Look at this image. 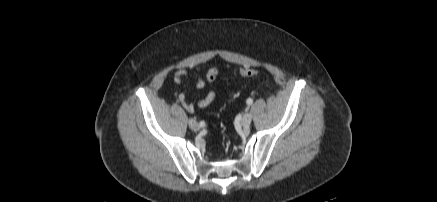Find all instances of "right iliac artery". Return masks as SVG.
I'll return each instance as SVG.
<instances>
[{
    "mask_svg": "<svg viewBox=\"0 0 437 202\" xmlns=\"http://www.w3.org/2000/svg\"><path fill=\"white\" fill-rule=\"evenodd\" d=\"M199 125H200V127H204V126H205V122H204V121H201V122L199 123Z\"/></svg>",
    "mask_w": 437,
    "mask_h": 202,
    "instance_id": "obj_1",
    "label": "right iliac artery"
}]
</instances>
